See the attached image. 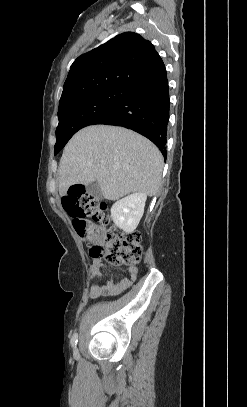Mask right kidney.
Masks as SVG:
<instances>
[{"label": "right kidney", "mask_w": 247, "mask_h": 407, "mask_svg": "<svg viewBox=\"0 0 247 407\" xmlns=\"http://www.w3.org/2000/svg\"><path fill=\"white\" fill-rule=\"evenodd\" d=\"M147 195L133 193L117 202L111 208V217L115 225L127 233L133 232L143 216Z\"/></svg>", "instance_id": "1"}]
</instances>
